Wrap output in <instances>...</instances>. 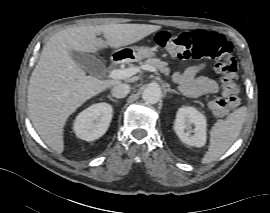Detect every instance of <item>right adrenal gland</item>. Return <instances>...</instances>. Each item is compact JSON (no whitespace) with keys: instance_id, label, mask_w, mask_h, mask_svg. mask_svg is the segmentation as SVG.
Wrapping results in <instances>:
<instances>
[{"instance_id":"obj_1","label":"right adrenal gland","mask_w":270,"mask_h":213,"mask_svg":"<svg viewBox=\"0 0 270 213\" xmlns=\"http://www.w3.org/2000/svg\"><path fill=\"white\" fill-rule=\"evenodd\" d=\"M108 98L112 101V102H118V100L114 99L111 95H108Z\"/></svg>"}]
</instances>
